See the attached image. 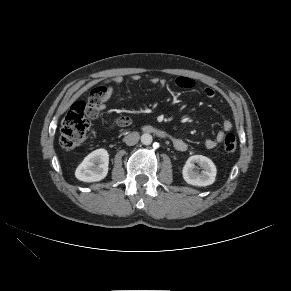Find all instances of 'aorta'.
I'll return each instance as SVG.
<instances>
[{
	"label": "aorta",
	"mask_w": 291,
	"mask_h": 291,
	"mask_svg": "<svg viewBox=\"0 0 291 291\" xmlns=\"http://www.w3.org/2000/svg\"><path fill=\"white\" fill-rule=\"evenodd\" d=\"M152 141H153L152 135L149 133H144L141 136V142L144 145H150L152 143Z\"/></svg>",
	"instance_id": "obj_1"
}]
</instances>
